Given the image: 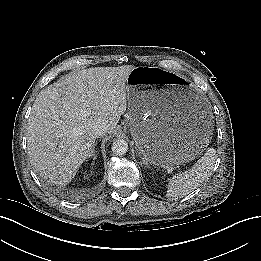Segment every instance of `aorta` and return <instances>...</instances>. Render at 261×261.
<instances>
[{"instance_id":"aorta-1","label":"aorta","mask_w":261,"mask_h":261,"mask_svg":"<svg viewBox=\"0 0 261 261\" xmlns=\"http://www.w3.org/2000/svg\"><path fill=\"white\" fill-rule=\"evenodd\" d=\"M112 151L117 156H122L128 151V143L124 139H116L112 144Z\"/></svg>"}]
</instances>
